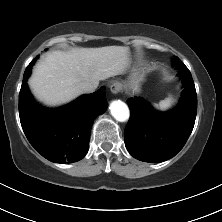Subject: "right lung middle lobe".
<instances>
[{"label":"right lung middle lobe","mask_w":222,"mask_h":222,"mask_svg":"<svg viewBox=\"0 0 222 222\" xmlns=\"http://www.w3.org/2000/svg\"><path fill=\"white\" fill-rule=\"evenodd\" d=\"M33 62H34V61H32V62L30 63V65H33Z\"/></svg>","instance_id":"obj_1"}]
</instances>
